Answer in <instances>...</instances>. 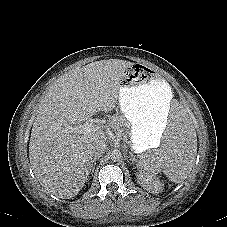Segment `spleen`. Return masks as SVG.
I'll return each mask as SVG.
<instances>
[{"mask_svg":"<svg viewBox=\"0 0 227 227\" xmlns=\"http://www.w3.org/2000/svg\"><path fill=\"white\" fill-rule=\"evenodd\" d=\"M196 154V132L189 121L188 109L182 103H175L169 109L168 133L160 150L142 152L137 166L146 175L162 171L171 182L181 183L190 174Z\"/></svg>","mask_w":227,"mask_h":227,"instance_id":"1","label":"spleen"}]
</instances>
